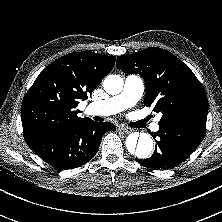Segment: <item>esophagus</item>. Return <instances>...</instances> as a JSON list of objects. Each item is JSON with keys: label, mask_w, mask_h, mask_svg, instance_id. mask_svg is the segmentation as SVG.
I'll use <instances>...</instances> for the list:
<instances>
[{"label": "esophagus", "mask_w": 222, "mask_h": 222, "mask_svg": "<svg viewBox=\"0 0 222 222\" xmlns=\"http://www.w3.org/2000/svg\"><path fill=\"white\" fill-rule=\"evenodd\" d=\"M118 131L123 134H129L130 132H132V129L125 127V126H119Z\"/></svg>", "instance_id": "34e87169"}]
</instances>
